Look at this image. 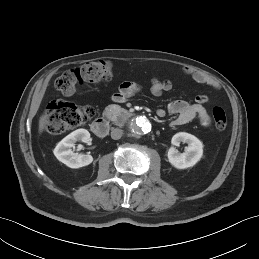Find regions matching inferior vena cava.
Masks as SVG:
<instances>
[{
	"label": "inferior vena cava",
	"mask_w": 259,
	"mask_h": 259,
	"mask_svg": "<svg viewBox=\"0 0 259 259\" xmlns=\"http://www.w3.org/2000/svg\"><path fill=\"white\" fill-rule=\"evenodd\" d=\"M123 131L119 128H113L111 130V138L114 140H118L122 137Z\"/></svg>",
	"instance_id": "1"
}]
</instances>
